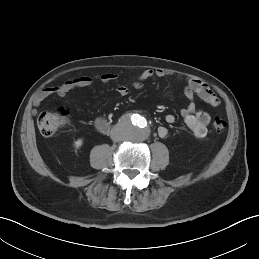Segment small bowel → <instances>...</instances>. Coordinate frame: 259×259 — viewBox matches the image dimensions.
Returning <instances> with one entry per match:
<instances>
[{"label": "small bowel", "mask_w": 259, "mask_h": 259, "mask_svg": "<svg viewBox=\"0 0 259 259\" xmlns=\"http://www.w3.org/2000/svg\"><path fill=\"white\" fill-rule=\"evenodd\" d=\"M169 75H171V72L164 69H159L156 71L144 70L133 79L130 86L118 85L116 91L120 96H126L129 94L130 87L140 88L145 81L153 77L163 78ZM116 78L117 74L112 72L95 76H79L65 81L60 85L47 87L39 91L34 97L33 104L37 107L51 96L66 97L70 91L76 88L88 87L92 85L95 80H99L101 83L107 84ZM184 94L188 99V105L181 109V116L183 117L184 122L192 136L198 139L204 138L207 134V126L210 122V117L206 112L199 110L196 107L194 101L195 95L213 107L220 104V99L207 84L193 78H188L185 80ZM165 119L169 124L175 122V116L173 114L166 115ZM157 133L161 138H166L170 134L169 130L164 126L159 127Z\"/></svg>", "instance_id": "small-bowel-1"}]
</instances>
